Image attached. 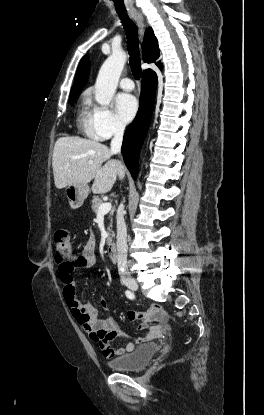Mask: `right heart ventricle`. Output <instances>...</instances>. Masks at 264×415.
I'll list each match as a JSON object with an SVG mask.
<instances>
[{"label": "right heart ventricle", "mask_w": 264, "mask_h": 415, "mask_svg": "<svg viewBox=\"0 0 264 415\" xmlns=\"http://www.w3.org/2000/svg\"><path fill=\"white\" fill-rule=\"evenodd\" d=\"M77 125L87 137L93 140L101 139L94 127L93 108L87 96H84L80 102L77 111Z\"/></svg>", "instance_id": "right-heart-ventricle-1"}]
</instances>
